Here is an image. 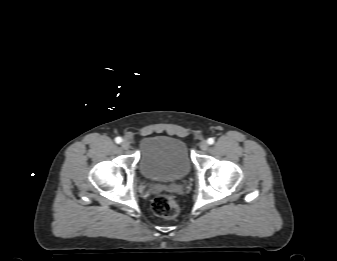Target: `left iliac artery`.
<instances>
[{
    "mask_svg": "<svg viewBox=\"0 0 337 261\" xmlns=\"http://www.w3.org/2000/svg\"><path fill=\"white\" fill-rule=\"evenodd\" d=\"M207 142H208V144L212 145V144L214 143V139H213V138H209V139L207 140Z\"/></svg>",
    "mask_w": 337,
    "mask_h": 261,
    "instance_id": "1",
    "label": "left iliac artery"
}]
</instances>
